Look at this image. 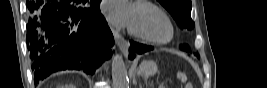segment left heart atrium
I'll return each instance as SVG.
<instances>
[{
	"label": "left heart atrium",
	"instance_id": "1",
	"mask_svg": "<svg viewBox=\"0 0 267 88\" xmlns=\"http://www.w3.org/2000/svg\"><path fill=\"white\" fill-rule=\"evenodd\" d=\"M103 12L114 25L129 26L132 20L133 7L126 0H110L103 5Z\"/></svg>",
	"mask_w": 267,
	"mask_h": 88
}]
</instances>
